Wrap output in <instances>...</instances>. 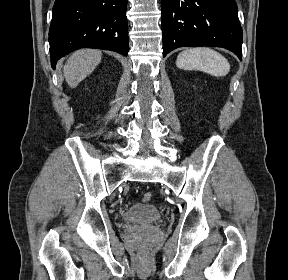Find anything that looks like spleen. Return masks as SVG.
I'll return each instance as SVG.
<instances>
[{"label": "spleen", "instance_id": "spleen-1", "mask_svg": "<svg viewBox=\"0 0 288 280\" xmlns=\"http://www.w3.org/2000/svg\"><path fill=\"white\" fill-rule=\"evenodd\" d=\"M176 65L180 69H196L216 77L225 76L230 71L228 60L208 47L186 49L177 56Z\"/></svg>", "mask_w": 288, "mask_h": 280}]
</instances>
